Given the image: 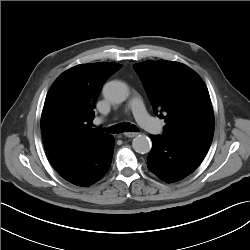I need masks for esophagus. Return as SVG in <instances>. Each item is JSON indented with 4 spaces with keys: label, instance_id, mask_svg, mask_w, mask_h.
<instances>
[{
    "label": "esophagus",
    "instance_id": "obj_1",
    "mask_svg": "<svg viewBox=\"0 0 250 250\" xmlns=\"http://www.w3.org/2000/svg\"><path fill=\"white\" fill-rule=\"evenodd\" d=\"M139 133L138 132H125L124 135L129 138L136 137Z\"/></svg>",
    "mask_w": 250,
    "mask_h": 250
}]
</instances>
